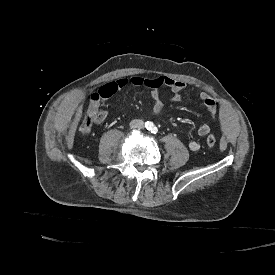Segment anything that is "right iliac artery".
Masks as SVG:
<instances>
[{
  "label": "right iliac artery",
  "instance_id": "82829eb1",
  "mask_svg": "<svg viewBox=\"0 0 275 275\" xmlns=\"http://www.w3.org/2000/svg\"><path fill=\"white\" fill-rule=\"evenodd\" d=\"M145 126H146L148 129H152L153 123L150 122V121H147V122L145 123Z\"/></svg>",
  "mask_w": 275,
  "mask_h": 275
}]
</instances>
